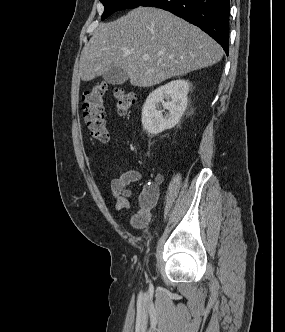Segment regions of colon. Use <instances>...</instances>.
Here are the masks:
<instances>
[{
    "mask_svg": "<svg viewBox=\"0 0 285 332\" xmlns=\"http://www.w3.org/2000/svg\"><path fill=\"white\" fill-rule=\"evenodd\" d=\"M112 89L117 110L121 114L128 112L135 104V95L122 87H110L105 82H98L83 95V117L91 136L100 143L106 144L110 134L104 114V99Z\"/></svg>",
    "mask_w": 285,
    "mask_h": 332,
    "instance_id": "obj_1",
    "label": "colon"
}]
</instances>
